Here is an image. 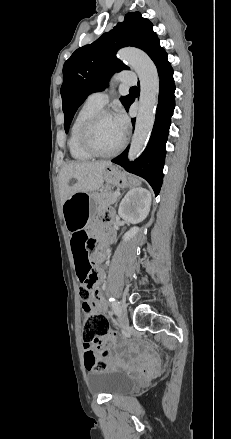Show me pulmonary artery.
Listing matches in <instances>:
<instances>
[{"label":"pulmonary artery","instance_id":"e3ab8cb5","mask_svg":"<svg viewBox=\"0 0 231 439\" xmlns=\"http://www.w3.org/2000/svg\"><path fill=\"white\" fill-rule=\"evenodd\" d=\"M118 79L124 85H134L136 83V77L134 76V74L132 72H129V71H122L118 75ZM107 100H108V96H107V93L105 91L93 92L87 98L88 102H90V103H92L100 108L103 107L107 103Z\"/></svg>","mask_w":231,"mask_h":439}]
</instances>
